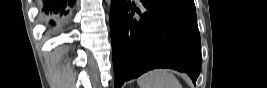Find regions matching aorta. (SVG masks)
<instances>
[{"instance_id":"obj_1","label":"aorta","mask_w":267,"mask_h":88,"mask_svg":"<svg viewBox=\"0 0 267 88\" xmlns=\"http://www.w3.org/2000/svg\"><path fill=\"white\" fill-rule=\"evenodd\" d=\"M107 4H108V6H110V4H111V1H110V0H107Z\"/></svg>"}]
</instances>
